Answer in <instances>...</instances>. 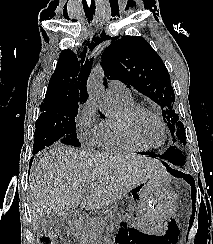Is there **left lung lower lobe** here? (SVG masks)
Segmentation results:
<instances>
[{"mask_svg": "<svg viewBox=\"0 0 213 244\" xmlns=\"http://www.w3.org/2000/svg\"><path fill=\"white\" fill-rule=\"evenodd\" d=\"M144 155H148V156H150L152 158H154V157H160V158H162L164 160L163 161V164L170 170V172L172 174H174L177 177L184 178L191 185L192 200L195 202L196 191H195V182H194V179L190 175H187L185 173H182L180 171H177L175 169L170 168L169 165H168L169 162H171L172 164H174V162H175V160L173 158V152H172V150L168 149L163 155H157V154H154L152 152H146V153H144Z\"/></svg>", "mask_w": 213, "mask_h": 244, "instance_id": "left-lung-lower-lobe-1", "label": "left lung lower lobe"}]
</instances>
